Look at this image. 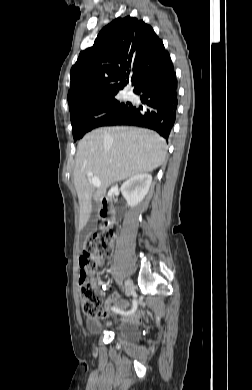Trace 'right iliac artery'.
<instances>
[{"instance_id": "right-iliac-artery-1", "label": "right iliac artery", "mask_w": 252, "mask_h": 390, "mask_svg": "<svg viewBox=\"0 0 252 390\" xmlns=\"http://www.w3.org/2000/svg\"><path fill=\"white\" fill-rule=\"evenodd\" d=\"M131 303H132V306H131V309H130V315L131 316H134L135 313L139 310V307H138V300L136 298H133L131 300ZM113 311L117 312L120 316H128L129 315V312L128 311H122L121 309H118L116 307H112L111 308Z\"/></svg>"}]
</instances>
